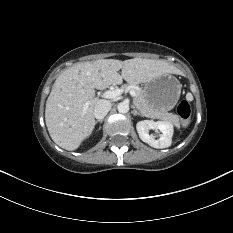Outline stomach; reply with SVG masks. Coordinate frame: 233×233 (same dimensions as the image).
Masks as SVG:
<instances>
[{"label": "stomach", "instance_id": "0dacf381", "mask_svg": "<svg viewBox=\"0 0 233 233\" xmlns=\"http://www.w3.org/2000/svg\"><path fill=\"white\" fill-rule=\"evenodd\" d=\"M142 92L152 108L167 112L177 104L181 85L176 77L165 74L145 83Z\"/></svg>", "mask_w": 233, "mask_h": 233}]
</instances>
